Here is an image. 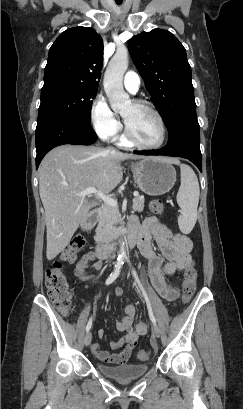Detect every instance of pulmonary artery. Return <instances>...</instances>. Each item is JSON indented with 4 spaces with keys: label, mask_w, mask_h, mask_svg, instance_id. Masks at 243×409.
Here are the masks:
<instances>
[{
    "label": "pulmonary artery",
    "mask_w": 243,
    "mask_h": 409,
    "mask_svg": "<svg viewBox=\"0 0 243 409\" xmlns=\"http://www.w3.org/2000/svg\"><path fill=\"white\" fill-rule=\"evenodd\" d=\"M124 87L130 92L135 94L140 87V76L134 71H128L123 80Z\"/></svg>",
    "instance_id": "obj_1"
}]
</instances>
